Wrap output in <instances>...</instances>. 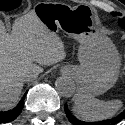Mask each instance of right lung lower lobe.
<instances>
[{
  "instance_id": "98d812e1",
  "label": "right lung lower lobe",
  "mask_w": 125,
  "mask_h": 125,
  "mask_svg": "<svg viewBox=\"0 0 125 125\" xmlns=\"http://www.w3.org/2000/svg\"><path fill=\"white\" fill-rule=\"evenodd\" d=\"M25 95L22 97L18 105L9 111L0 112V123H7L15 120L21 113L24 105Z\"/></svg>"
}]
</instances>
